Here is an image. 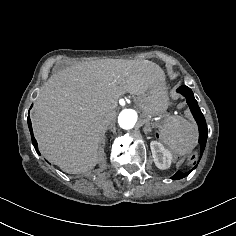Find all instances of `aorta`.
Wrapping results in <instances>:
<instances>
[{
  "label": "aorta",
  "instance_id": "762f6f07",
  "mask_svg": "<svg viewBox=\"0 0 236 236\" xmlns=\"http://www.w3.org/2000/svg\"><path fill=\"white\" fill-rule=\"evenodd\" d=\"M137 112L133 109H124L118 116V123L122 129H132L137 122Z\"/></svg>",
  "mask_w": 236,
  "mask_h": 236
}]
</instances>
